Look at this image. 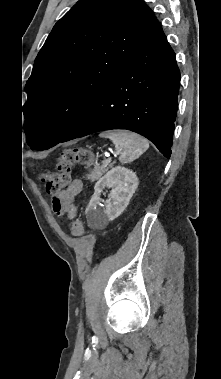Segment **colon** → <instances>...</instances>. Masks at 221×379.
<instances>
[{
    "mask_svg": "<svg viewBox=\"0 0 221 379\" xmlns=\"http://www.w3.org/2000/svg\"><path fill=\"white\" fill-rule=\"evenodd\" d=\"M81 164L90 167L93 164V155L83 148H69L60 154L54 171L48 170L41 174L40 179L45 184L47 193L50 190H64L72 183V171L75 165ZM71 233L80 237L85 233L81 220L72 221Z\"/></svg>",
    "mask_w": 221,
    "mask_h": 379,
    "instance_id": "obj_1",
    "label": "colon"
}]
</instances>
